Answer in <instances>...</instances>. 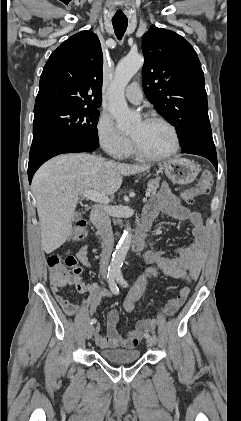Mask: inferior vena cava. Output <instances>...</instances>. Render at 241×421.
Here are the masks:
<instances>
[{
  "mask_svg": "<svg viewBox=\"0 0 241 421\" xmlns=\"http://www.w3.org/2000/svg\"><path fill=\"white\" fill-rule=\"evenodd\" d=\"M91 221L101 234L103 249L100 260V272L103 276L107 273L110 256L114 245V235L111 221L107 213V208L102 204H97L91 211Z\"/></svg>",
  "mask_w": 241,
  "mask_h": 421,
  "instance_id": "1",
  "label": "inferior vena cava"
}]
</instances>
